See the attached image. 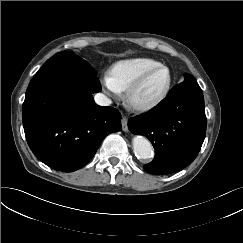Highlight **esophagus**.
Wrapping results in <instances>:
<instances>
[{"mask_svg": "<svg viewBox=\"0 0 243 243\" xmlns=\"http://www.w3.org/2000/svg\"><path fill=\"white\" fill-rule=\"evenodd\" d=\"M121 124H122V130L124 132H127L128 131V118L123 116L121 119Z\"/></svg>", "mask_w": 243, "mask_h": 243, "instance_id": "esophagus-1", "label": "esophagus"}]
</instances>
